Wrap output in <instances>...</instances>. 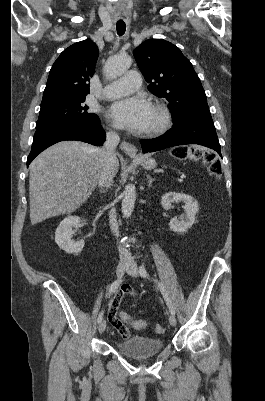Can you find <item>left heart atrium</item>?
Segmentation results:
<instances>
[{
	"mask_svg": "<svg viewBox=\"0 0 265 401\" xmlns=\"http://www.w3.org/2000/svg\"><path fill=\"white\" fill-rule=\"evenodd\" d=\"M152 106L142 97L124 98L114 101L107 110V116L120 127L130 130L145 129Z\"/></svg>",
	"mask_w": 265,
	"mask_h": 401,
	"instance_id": "obj_1",
	"label": "left heart atrium"
}]
</instances>
